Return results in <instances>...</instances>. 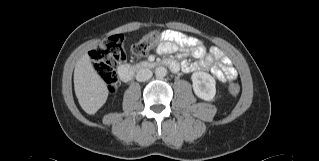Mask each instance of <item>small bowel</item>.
I'll use <instances>...</instances> for the list:
<instances>
[{
    "instance_id": "obj_1",
    "label": "small bowel",
    "mask_w": 319,
    "mask_h": 161,
    "mask_svg": "<svg viewBox=\"0 0 319 161\" xmlns=\"http://www.w3.org/2000/svg\"><path fill=\"white\" fill-rule=\"evenodd\" d=\"M161 43L157 47L159 54H169L179 48L186 51L196 59L195 62L184 60L182 70L191 73L197 70H210L212 74L221 82L233 81L237 78V70L232 65L230 59L217 47L206 50L203 43L196 38L184 33L166 30L161 34Z\"/></svg>"
}]
</instances>
